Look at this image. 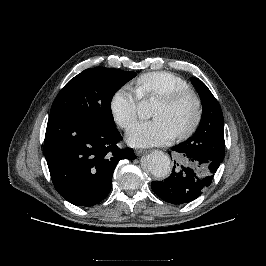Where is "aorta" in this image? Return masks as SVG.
Masks as SVG:
<instances>
[{
    "label": "aorta",
    "instance_id": "1",
    "mask_svg": "<svg viewBox=\"0 0 266 266\" xmlns=\"http://www.w3.org/2000/svg\"><path fill=\"white\" fill-rule=\"evenodd\" d=\"M139 115L141 117H147L149 115L148 110H140ZM145 165L152 175L161 178L165 177L170 172V159L162 151L154 150L147 157Z\"/></svg>",
    "mask_w": 266,
    "mask_h": 266
}]
</instances>
